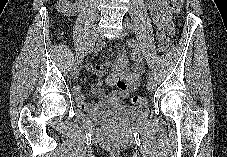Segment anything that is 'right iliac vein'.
<instances>
[{
    "instance_id": "63e3f726",
    "label": "right iliac vein",
    "mask_w": 227,
    "mask_h": 157,
    "mask_svg": "<svg viewBox=\"0 0 227 157\" xmlns=\"http://www.w3.org/2000/svg\"><path fill=\"white\" fill-rule=\"evenodd\" d=\"M95 38H96V39L99 38V33H98V31L93 30V32H92V34H91V37H90L91 45L93 44ZM88 48L90 49V46H88ZM71 75H72L73 78H77V77H78L79 72H78V68H77L76 65H74V66L72 67Z\"/></svg>"
}]
</instances>
